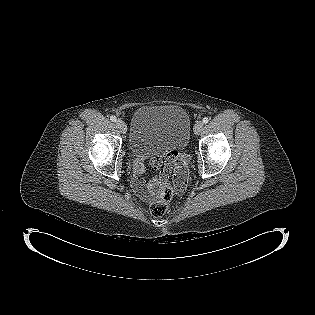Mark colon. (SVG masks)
Listing matches in <instances>:
<instances>
[{
  "label": "colon",
  "instance_id": "obj_1",
  "mask_svg": "<svg viewBox=\"0 0 315 315\" xmlns=\"http://www.w3.org/2000/svg\"><path fill=\"white\" fill-rule=\"evenodd\" d=\"M186 180L183 174L178 175L173 182H165L159 190L157 197L150 206L153 216L161 217L168 210V204L176 192L184 190Z\"/></svg>",
  "mask_w": 315,
  "mask_h": 315
}]
</instances>
